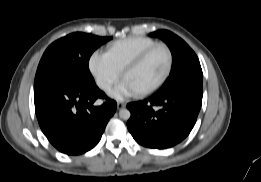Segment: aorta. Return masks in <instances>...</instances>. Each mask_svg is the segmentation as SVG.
Segmentation results:
<instances>
[{
	"label": "aorta",
	"instance_id": "obj_1",
	"mask_svg": "<svg viewBox=\"0 0 261 182\" xmlns=\"http://www.w3.org/2000/svg\"><path fill=\"white\" fill-rule=\"evenodd\" d=\"M131 116V113L128 109H121L119 111V117L123 120H128Z\"/></svg>",
	"mask_w": 261,
	"mask_h": 182
}]
</instances>
